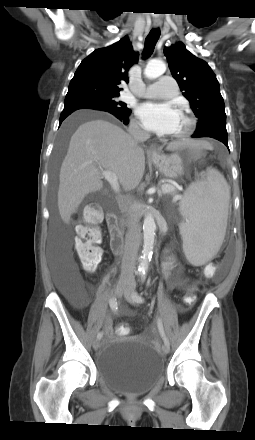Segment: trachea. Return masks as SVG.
I'll return each instance as SVG.
<instances>
[{
    "label": "trachea",
    "instance_id": "obj_1",
    "mask_svg": "<svg viewBox=\"0 0 255 440\" xmlns=\"http://www.w3.org/2000/svg\"><path fill=\"white\" fill-rule=\"evenodd\" d=\"M160 37V29H152L145 40V47L143 50V58H148L152 55L155 45Z\"/></svg>",
    "mask_w": 255,
    "mask_h": 440
}]
</instances>
